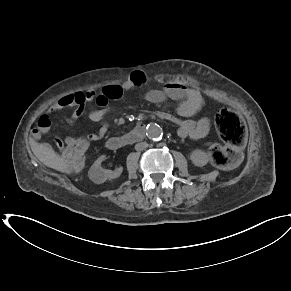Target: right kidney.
Wrapping results in <instances>:
<instances>
[{"label": "right kidney", "mask_w": 291, "mask_h": 291, "mask_svg": "<svg viewBox=\"0 0 291 291\" xmlns=\"http://www.w3.org/2000/svg\"><path fill=\"white\" fill-rule=\"evenodd\" d=\"M105 159V156L99 157L89 170V178L96 184L104 183L107 179L118 178L122 173V168H118L115 171L107 170L101 167V162Z\"/></svg>", "instance_id": "obj_1"}]
</instances>
